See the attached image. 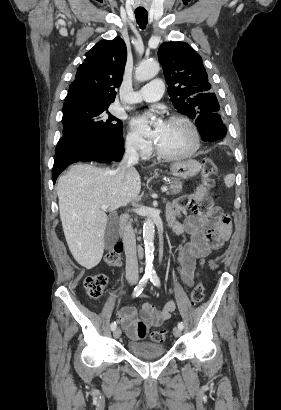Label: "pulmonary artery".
I'll list each match as a JSON object with an SVG mask.
<instances>
[{
	"label": "pulmonary artery",
	"mask_w": 281,
	"mask_h": 410,
	"mask_svg": "<svg viewBox=\"0 0 281 410\" xmlns=\"http://www.w3.org/2000/svg\"><path fill=\"white\" fill-rule=\"evenodd\" d=\"M164 91V83L160 79H154L144 85L140 90L131 93L127 97V102L131 104L141 102H155L158 101Z\"/></svg>",
	"instance_id": "pulmonary-artery-1"
}]
</instances>
